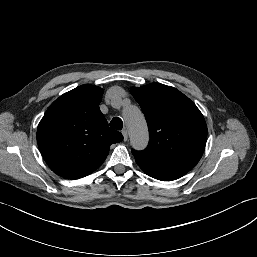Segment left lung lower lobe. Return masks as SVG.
Returning <instances> with one entry per match:
<instances>
[{"instance_id": "1", "label": "left lung lower lobe", "mask_w": 257, "mask_h": 257, "mask_svg": "<svg viewBox=\"0 0 257 257\" xmlns=\"http://www.w3.org/2000/svg\"><path fill=\"white\" fill-rule=\"evenodd\" d=\"M139 167L149 176L162 180V181H171L182 177L191 168L182 167V168H163L151 165H145L137 163Z\"/></svg>"}]
</instances>
